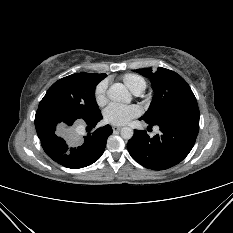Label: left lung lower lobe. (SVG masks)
I'll list each match as a JSON object with an SVG mask.
<instances>
[{"mask_svg":"<svg viewBox=\"0 0 233 233\" xmlns=\"http://www.w3.org/2000/svg\"><path fill=\"white\" fill-rule=\"evenodd\" d=\"M199 117L197 101L192 100L155 124L144 120L149 125H158L160 133L151 138L146 131L135 130L127 144L130 155L139 164L153 170L177 165L194 146Z\"/></svg>","mask_w":233,"mask_h":233,"instance_id":"left-lung-lower-lobe-1","label":"left lung lower lobe"}]
</instances>
